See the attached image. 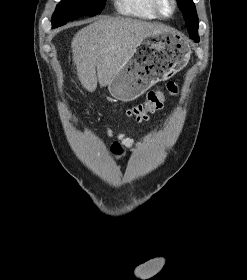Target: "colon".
I'll use <instances>...</instances> for the list:
<instances>
[{
  "label": "colon",
  "instance_id": "1",
  "mask_svg": "<svg viewBox=\"0 0 247 280\" xmlns=\"http://www.w3.org/2000/svg\"><path fill=\"white\" fill-rule=\"evenodd\" d=\"M178 90V84L174 81H170L167 83L165 91H150L147 94L145 101L127 109V114L129 117L134 118L137 122H142L148 118L149 114L161 109L166 97L168 95H176ZM113 151H119L117 144L113 145Z\"/></svg>",
  "mask_w": 247,
  "mask_h": 280
}]
</instances>
